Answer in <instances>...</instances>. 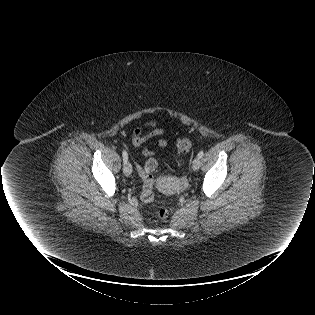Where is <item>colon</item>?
Instances as JSON below:
<instances>
[{
    "mask_svg": "<svg viewBox=\"0 0 315 315\" xmlns=\"http://www.w3.org/2000/svg\"><path fill=\"white\" fill-rule=\"evenodd\" d=\"M192 143L189 139L184 138L177 142L176 148L179 153H187L190 151ZM158 161L155 158H150L144 168L141 170L140 175L143 180V186L140 194L142 202L150 204L154 201V185L155 178L154 174L158 168ZM168 210L161 208L157 212V217L160 221H165L168 217Z\"/></svg>",
    "mask_w": 315,
    "mask_h": 315,
    "instance_id": "obj_1",
    "label": "colon"
}]
</instances>
